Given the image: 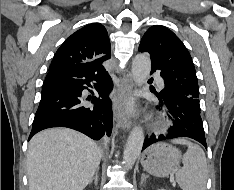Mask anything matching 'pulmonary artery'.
Masks as SVG:
<instances>
[{
    "mask_svg": "<svg viewBox=\"0 0 234 190\" xmlns=\"http://www.w3.org/2000/svg\"><path fill=\"white\" fill-rule=\"evenodd\" d=\"M157 85H158V87L161 89V88H163L164 87V82H163V80L162 79H157Z\"/></svg>",
    "mask_w": 234,
    "mask_h": 190,
    "instance_id": "obj_1",
    "label": "pulmonary artery"
}]
</instances>
